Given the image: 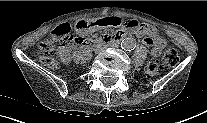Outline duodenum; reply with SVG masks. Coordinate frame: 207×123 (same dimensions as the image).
<instances>
[{
  "mask_svg": "<svg viewBox=\"0 0 207 123\" xmlns=\"http://www.w3.org/2000/svg\"><path fill=\"white\" fill-rule=\"evenodd\" d=\"M123 37L124 36H114V37L104 36L101 38V40L89 39L84 43V47L93 48L94 46L101 44V43H103V44H116L120 40H122Z\"/></svg>",
  "mask_w": 207,
  "mask_h": 123,
  "instance_id": "obj_1",
  "label": "duodenum"
}]
</instances>
